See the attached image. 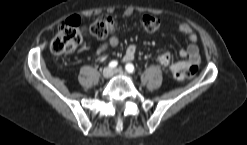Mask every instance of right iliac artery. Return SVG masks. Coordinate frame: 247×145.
<instances>
[{"mask_svg":"<svg viewBox=\"0 0 247 145\" xmlns=\"http://www.w3.org/2000/svg\"><path fill=\"white\" fill-rule=\"evenodd\" d=\"M117 65H118V62H117V61H111V62L109 63V67H110V68H115Z\"/></svg>","mask_w":247,"mask_h":145,"instance_id":"right-iliac-artery-1","label":"right iliac artery"}]
</instances>
